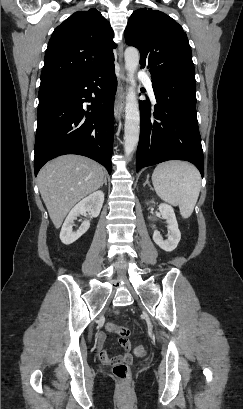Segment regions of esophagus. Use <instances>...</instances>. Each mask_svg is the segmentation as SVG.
<instances>
[{"label": "esophagus", "instance_id": "esophagus-1", "mask_svg": "<svg viewBox=\"0 0 243 409\" xmlns=\"http://www.w3.org/2000/svg\"><path fill=\"white\" fill-rule=\"evenodd\" d=\"M119 61H123V43L119 46ZM127 81L125 70L121 64L120 69V86L114 102V115L116 119H119L123 113L125 105V82Z\"/></svg>", "mask_w": 243, "mask_h": 409}]
</instances>
